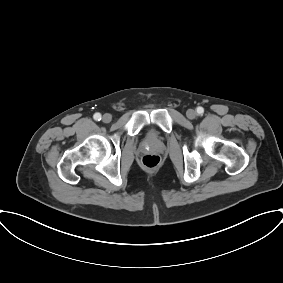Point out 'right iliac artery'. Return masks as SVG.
<instances>
[{
    "label": "right iliac artery",
    "mask_w": 283,
    "mask_h": 283,
    "mask_svg": "<svg viewBox=\"0 0 283 283\" xmlns=\"http://www.w3.org/2000/svg\"><path fill=\"white\" fill-rule=\"evenodd\" d=\"M93 118L96 120V121H100L101 120V114L100 113H95Z\"/></svg>",
    "instance_id": "82829eb1"
}]
</instances>
